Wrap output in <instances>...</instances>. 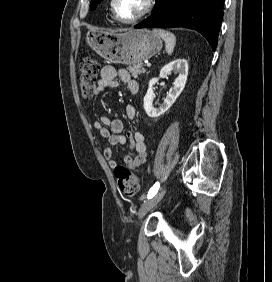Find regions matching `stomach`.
I'll list each match as a JSON object with an SVG mask.
<instances>
[{
  "label": "stomach",
  "instance_id": "0dacf381",
  "mask_svg": "<svg viewBox=\"0 0 272 282\" xmlns=\"http://www.w3.org/2000/svg\"><path fill=\"white\" fill-rule=\"evenodd\" d=\"M86 43L111 63L136 65L162 49V40L148 29L124 32L88 31Z\"/></svg>",
  "mask_w": 272,
  "mask_h": 282
}]
</instances>
